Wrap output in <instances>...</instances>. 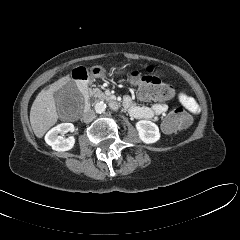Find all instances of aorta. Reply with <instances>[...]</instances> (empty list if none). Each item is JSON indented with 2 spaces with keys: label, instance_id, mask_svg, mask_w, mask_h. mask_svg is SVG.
<instances>
[{
  "label": "aorta",
  "instance_id": "obj_1",
  "mask_svg": "<svg viewBox=\"0 0 240 240\" xmlns=\"http://www.w3.org/2000/svg\"><path fill=\"white\" fill-rule=\"evenodd\" d=\"M106 107H107L106 103H104L103 101H100L95 104L94 109L96 113L101 114L105 112Z\"/></svg>",
  "mask_w": 240,
  "mask_h": 240
}]
</instances>
